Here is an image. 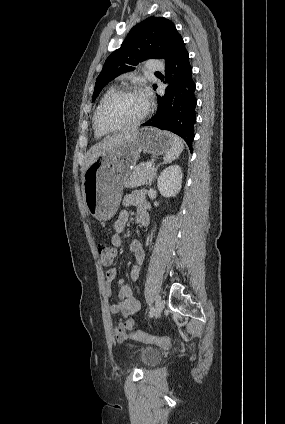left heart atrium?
<instances>
[{
  "mask_svg": "<svg viewBox=\"0 0 285 424\" xmlns=\"http://www.w3.org/2000/svg\"><path fill=\"white\" fill-rule=\"evenodd\" d=\"M141 96L144 99L146 105L148 106L151 101V92L149 91V89H144L141 93Z\"/></svg>",
  "mask_w": 285,
  "mask_h": 424,
  "instance_id": "39dd6f15",
  "label": "left heart atrium"
}]
</instances>
